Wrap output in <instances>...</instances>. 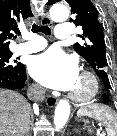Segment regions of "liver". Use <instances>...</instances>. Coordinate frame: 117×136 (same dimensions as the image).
I'll return each instance as SVG.
<instances>
[{
  "mask_svg": "<svg viewBox=\"0 0 117 136\" xmlns=\"http://www.w3.org/2000/svg\"><path fill=\"white\" fill-rule=\"evenodd\" d=\"M31 107L18 92L0 90V136H25Z\"/></svg>",
  "mask_w": 117,
  "mask_h": 136,
  "instance_id": "liver-1",
  "label": "liver"
}]
</instances>
